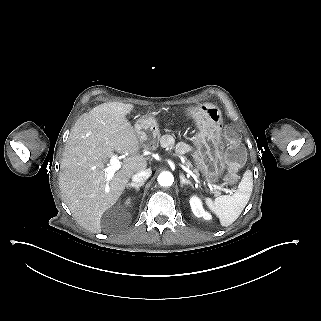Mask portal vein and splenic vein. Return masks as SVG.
Listing matches in <instances>:
<instances>
[{"mask_svg": "<svg viewBox=\"0 0 321 321\" xmlns=\"http://www.w3.org/2000/svg\"><path fill=\"white\" fill-rule=\"evenodd\" d=\"M177 165H178V166H181V169H183L184 172H188V174H189L192 178H194V180H196V183H198L199 186H201V187L204 188V189H208L207 186H205L204 184H202V183L199 181V179H197V176H195L194 173H192L193 171L191 172L190 169H188L187 167L182 166V163H180V162H177ZM120 168H121V162L118 160L117 155L112 156L111 159H110V165L104 169V171H105L106 174H107V176H106L107 184H106V185H108L109 181L112 179V177L114 176L115 172L118 171ZM209 188H210V187H209ZM210 190H212V189L210 188ZM108 191H109V190H108Z\"/></svg>", "mask_w": 321, "mask_h": 321, "instance_id": "obj_1", "label": "portal vein and splenic vein"}]
</instances>
